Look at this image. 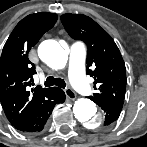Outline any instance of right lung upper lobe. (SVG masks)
<instances>
[{"label": "right lung upper lobe", "instance_id": "right-lung-upper-lobe-1", "mask_svg": "<svg viewBox=\"0 0 147 147\" xmlns=\"http://www.w3.org/2000/svg\"><path fill=\"white\" fill-rule=\"evenodd\" d=\"M58 16L49 12L31 14L22 19L6 41L0 58V101L6 117L14 124L34 112L52 88L37 86L31 91L35 65L28 53L42 35L50 30Z\"/></svg>", "mask_w": 147, "mask_h": 147}]
</instances>
